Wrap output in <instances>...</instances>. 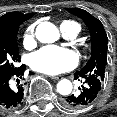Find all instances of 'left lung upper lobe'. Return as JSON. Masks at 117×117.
<instances>
[{
    "label": "left lung upper lobe",
    "mask_w": 117,
    "mask_h": 117,
    "mask_svg": "<svg viewBox=\"0 0 117 117\" xmlns=\"http://www.w3.org/2000/svg\"><path fill=\"white\" fill-rule=\"evenodd\" d=\"M67 10L85 22L91 36V58L80 72L84 74H94L103 82L107 66L108 50V38L103 25L97 18L83 9L71 8Z\"/></svg>",
    "instance_id": "1"
}]
</instances>
